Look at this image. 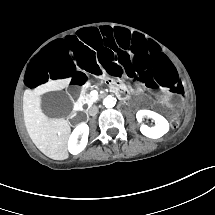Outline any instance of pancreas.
I'll use <instances>...</instances> for the list:
<instances>
[{"label": "pancreas", "instance_id": "obj_1", "mask_svg": "<svg viewBox=\"0 0 215 215\" xmlns=\"http://www.w3.org/2000/svg\"><path fill=\"white\" fill-rule=\"evenodd\" d=\"M98 99V97L97 98H95V97H93V96H91L90 94H85L84 96H83V103H86V104H88V105H91L93 102H95L96 100Z\"/></svg>", "mask_w": 215, "mask_h": 215}]
</instances>
